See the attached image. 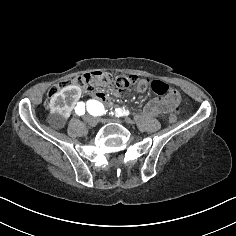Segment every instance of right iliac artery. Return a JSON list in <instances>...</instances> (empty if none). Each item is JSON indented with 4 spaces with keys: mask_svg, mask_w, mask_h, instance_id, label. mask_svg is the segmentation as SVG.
<instances>
[{
    "mask_svg": "<svg viewBox=\"0 0 236 236\" xmlns=\"http://www.w3.org/2000/svg\"><path fill=\"white\" fill-rule=\"evenodd\" d=\"M75 112L77 115H84L85 114V103L84 102H78L77 106L75 107Z\"/></svg>",
    "mask_w": 236,
    "mask_h": 236,
    "instance_id": "1",
    "label": "right iliac artery"
}]
</instances>
